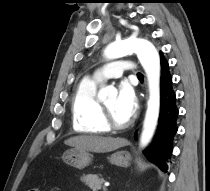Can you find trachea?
Wrapping results in <instances>:
<instances>
[{
    "label": "trachea",
    "mask_w": 210,
    "mask_h": 191,
    "mask_svg": "<svg viewBox=\"0 0 210 191\" xmlns=\"http://www.w3.org/2000/svg\"><path fill=\"white\" fill-rule=\"evenodd\" d=\"M138 77L143 78V75L141 73L138 74Z\"/></svg>",
    "instance_id": "obj_1"
}]
</instances>
